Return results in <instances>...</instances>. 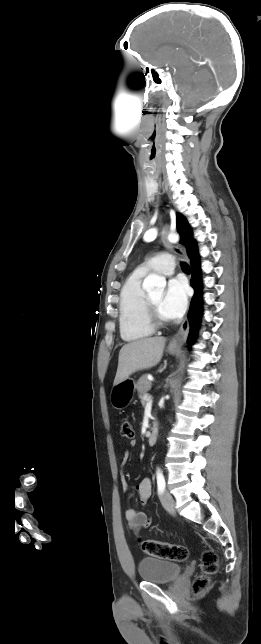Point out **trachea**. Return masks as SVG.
I'll return each instance as SVG.
<instances>
[{
  "label": "trachea",
  "instance_id": "obj_1",
  "mask_svg": "<svg viewBox=\"0 0 261 644\" xmlns=\"http://www.w3.org/2000/svg\"><path fill=\"white\" fill-rule=\"evenodd\" d=\"M181 267L184 271H190V266L185 262L181 263Z\"/></svg>",
  "mask_w": 261,
  "mask_h": 644
}]
</instances>
